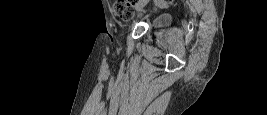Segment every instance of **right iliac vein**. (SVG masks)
<instances>
[{"instance_id": "63e3f726", "label": "right iliac vein", "mask_w": 267, "mask_h": 115, "mask_svg": "<svg viewBox=\"0 0 267 115\" xmlns=\"http://www.w3.org/2000/svg\"><path fill=\"white\" fill-rule=\"evenodd\" d=\"M145 4H141L139 7H138V10L142 9L144 7Z\"/></svg>"}]
</instances>
